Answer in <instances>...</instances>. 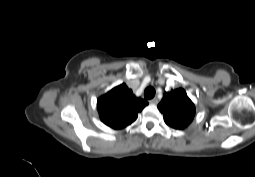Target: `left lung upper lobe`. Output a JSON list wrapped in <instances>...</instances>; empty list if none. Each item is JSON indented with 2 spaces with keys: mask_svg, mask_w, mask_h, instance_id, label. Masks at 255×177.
<instances>
[{
  "mask_svg": "<svg viewBox=\"0 0 255 177\" xmlns=\"http://www.w3.org/2000/svg\"><path fill=\"white\" fill-rule=\"evenodd\" d=\"M158 109L163 113L165 123L174 129L186 128L196 113L193 102L182 88L165 92Z\"/></svg>",
  "mask_w": 255,
  "mask_h": 177,
  "instance_id": "obj_1",
  "label": "left lung upper lobe"
}]
</instances>
